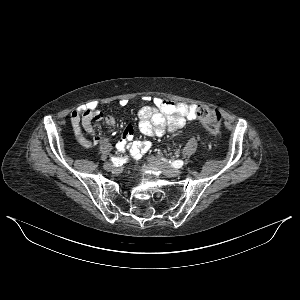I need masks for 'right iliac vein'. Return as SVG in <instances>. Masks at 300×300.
<instances>
[{"label": "right iliac vein", "instance_id": "63e3f726", "mask_svg": "<svg viewBox=\"0 0 300 300\" xmlns=\"http://www.w3.org/2000/svg\"><path fill=\"white\" fill-rule=\"evenodd\" d=\"M104 168L108 171H118V167H115L112 163L106 162L104 163Z\"/></svg>", "mask_w": 300, "mask_h": 300}]
</instances>
